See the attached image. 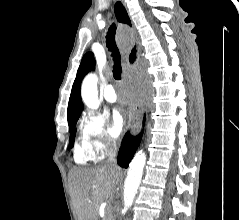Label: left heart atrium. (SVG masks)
Returning <instances> with one entry per match:
<instances>
[{"label": "left heart atrium", "instance_id": "1", "mask_svg": "<svg viewBox=\"0 0 239 220\" xmlns=\"http://www.w3.org/2000/svg\"><path fill=\"white\" fill-rule=\"evenodd\" d=\"M125 99V97H123ZM125 125V119L119 110H114L112 113V122L109 128V133L112 137H118Z\"/></svg>", "mask_w": 239, "mask_h": 220}]
</instances>
